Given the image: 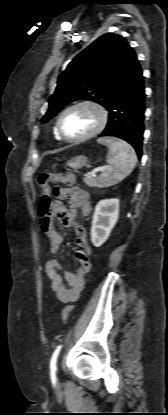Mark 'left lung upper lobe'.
Returning <instances> with one entry per match:
<instances>
[{"label":"left lung upper lobe","mask_w":168,"mask_h":415,"mask_svg":"<svg viewBox=\"0 0 168 415\" xmlns=\"http://www.w3.org/2000/svg\"><path fill=\"white\" fill-rule=\"evenodd\" d=\"M136 53L121 36L107 33L79 53L60 74L42 122L52 119L76 100L94 101L105 108L138 65Z\"/></svg>","instance_id":"5c2ea615"}]
</instances>
